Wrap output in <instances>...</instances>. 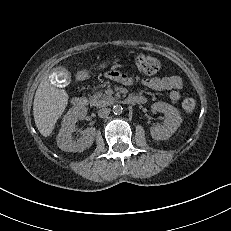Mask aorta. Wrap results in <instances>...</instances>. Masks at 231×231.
<instances>
[{"mask_svg": "<svg viewBox=\"0 0 231 231\" xmlns=\"http://www.w3.org/2000/svg\"><path fill=\"white\" fill-rule=\"evenodd\" d=\"M113 113L116 115H120L123 112V107L120 104H116L112 108Z\"/></svg>", "mask_w": 231, "mask_h": 231, "instance_id": "1", "label": "aorta"}]
</instances>
